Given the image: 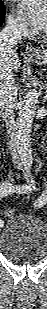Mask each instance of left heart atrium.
Listing matches in <instances>:
<instances>
[{
    "mask_svg": "<svg viewBox=\"0 0 47 309\" xmlns=\"http://www.w3.org/2000/svg\"><path fill=\"white\" fill-rule=\"evenodd\" d=\"M17 10L21 18L35 29L45 28L47 9L44 0H20Z\"/></svg>",
    "mask_w": 47,
    "mask_h": 309,
    "instance_id": "obj_1",
    "label": "left heart atrium"
}]
</instances>
